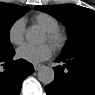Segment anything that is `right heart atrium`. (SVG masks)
<instances>
[{"label": "right heart atrium", "mask_w": 95, "mask_h": 95, "mask_svg": "<svg viewBox=\"0 0 95 95\" xmlns=\"http://www.w3.org/2000/svg\"><path fill=\"white\" fill-rule=\"evenodd\" d=\"M25 21L23 18L15 20L9 27L8 37L12 44L20 45L24 41Z\"/></svg>", "instance_id": "d8ad5b80"}]
</instances>
